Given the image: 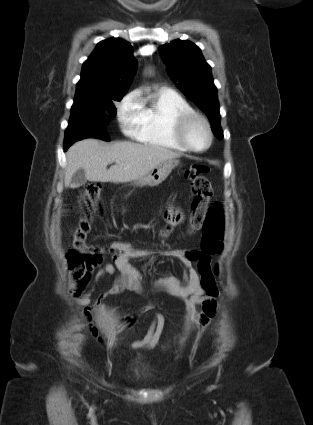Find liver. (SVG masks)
<instances>
[{
    "mask_svg": "<svg viewBox=\"0 0 313 425\" xmlns=\"http://www.w3.org/2000/svg\"><path fill=\"white\" fill-rule=\"evenodd\" d=\"M180 154L160 146L139 144L129 141L112 145L102 144L96 139H84L73 144L66 153L65 187L71 184L73 174L83 169L91 182L124 183L136 180L168 159L179 158ZM118 161L109 169L107 166Z\"/></svg>",
    "mask_w": 313,
    "mask_h": 425,
    "instance_id": "6515ba94",
    "label": "liver"
}]
</instances>
